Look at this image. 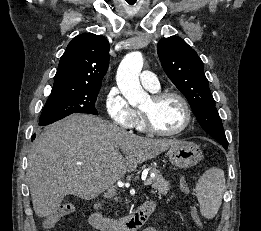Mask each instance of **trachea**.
I'll return each instance as SVG.
<instances>
[{
    "label": "trachea",
    "mask_w": 261,
    "mask_h": 231,
    "mask_svg": "<svg viewBox=\"0 0 261 231\" xmlns=\"http://www.w3.org/2000/svg\"><path fill=\"white\" fill-rule=\"evenodd\" d=\"M127 2H128L129 4H131V5H133V4L136 2V0H127Z\"/></svg>",
    "instance_id": "trachea-1"
}]
</instances>
